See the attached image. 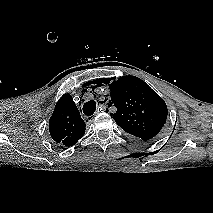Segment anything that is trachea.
Returning <instances> with one entry per match:
<instances>
[{
    "mask_svg": "<svg viewBox=\"0 0 213 213\" xmlns=\"http://www.w3.org/2000/svg\"><path fill=\"white\" fill-rule=\"evenodd\" d=\"M95 110H96V103L93 100L88 101L83 105V113L87 116L93 115Z\"/></svg>",
    "mask_w": 213,
    "mask_h": 213,
    "instance_id": "obj_1",
    "label": "trachea"
}]
</instances>
